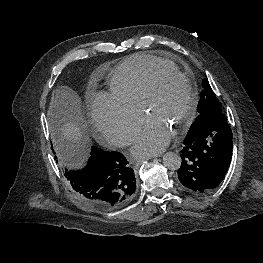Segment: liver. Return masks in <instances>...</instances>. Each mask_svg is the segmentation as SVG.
Returning <instances> with one entry per match:
<instances>
[{
	"label": "liver",
	"mask_w": 263,
	"mask_h": 263,
	"mask_svg": "<svg viewBox=\"0 0 263 263\" xmlns=\"http://www.w3.org/2000/svg\"><path fill=\"white\" fill-rule=\"evenodd\" d=\"M80 111L79 96L68 87L57 88L52 96V113L59 119L58 128L61 137L68 142L65 147L69 156L78 153V147L84 139L81 127L78 125Z\"/></svg>",
	"instance_id": "1"
}]
</instances>
